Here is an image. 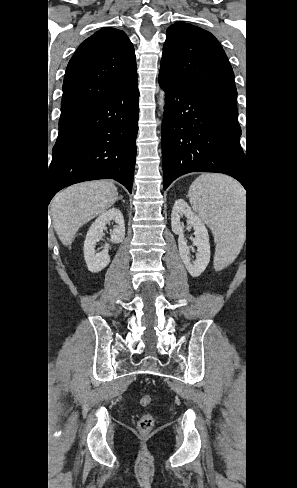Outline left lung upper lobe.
I'll use <instances>...</instances> for the list:
<instances>
[{
    "label": "left lung upper lobe",
    "instance_id": "1",
    "mask_svg": "<svg viewBox=\"0 0 297 488\" xmlns=\"http://www.w3.org/2000/svg\"><path fill=\"white\" fill-rule=\"evenodd\" d=\"M159 74L201 101L238 117L234 73L223 48L210 32L182 22L171 25Z\"/></svg>",
    "mask_w": 297,
    "mask_h": 488
}]
</instances>
